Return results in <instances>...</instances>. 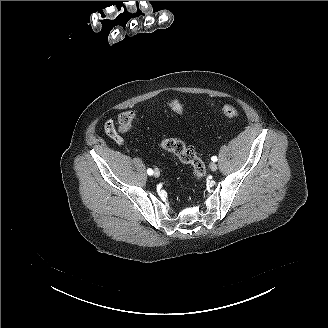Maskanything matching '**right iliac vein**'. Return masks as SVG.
<instances>
[{"mask_svg": "<svg viewBox=\"0 0 328 328\" xmlns=\"http://www.w3.org/2000/svg\"><path fill=\"white\" fill-rule=\"evenodd\" d=\"M154 176L156 178H158L160 176V172H159V170L157 168L154 170Z\"/></svg>", "mask_w": 328, "mask_h": 328, "instance_id": "1", "label": "right iliac vein"}]
</instances>
